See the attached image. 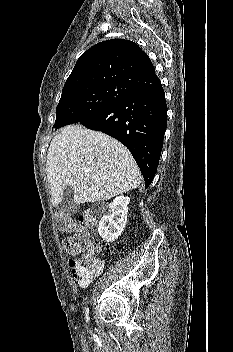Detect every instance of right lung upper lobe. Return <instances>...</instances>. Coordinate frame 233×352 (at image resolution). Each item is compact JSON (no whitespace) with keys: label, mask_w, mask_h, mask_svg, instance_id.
<instances>
[{"label":"right lung upper lobe","mask_w":233,"mask_h":352,"mask_svg":"<svg viewBox=\"0 0 233 352\" xmlns=\"http://www.w3.org/2000/svg\"><path fill=\"white\" fill-rule=\"evenodd\" d=\"M159 81L148 55L132 41L112 39L85 51L77 60L62 94L99 85H122L134 91Z\"/></svg>","instance_id":"cb5924a9"}]
</instances>
